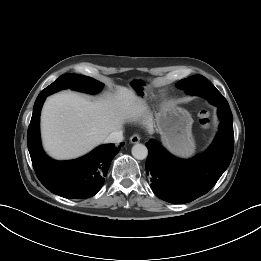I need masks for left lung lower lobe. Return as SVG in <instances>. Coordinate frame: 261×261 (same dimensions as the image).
<instances>
[{
	"instance_id": "0a47b994",
	"label": "left lung lower lobe",
	"mask_w": 261,
	"mask_h": 261,
	"mask_svg": "<svg viewBox=\"0 0 261 261\" xmlns=\"http://www.w3.org/2000/svg\"><path fill=\"white\" fill-rule=\"evenodd\" d=\"M187 92L202 96L217 106L221 123L212 145L196 158L178 159L155 140L146 143L150 186L160 199L173 204L188 203L207 193L229 166L234 149L232 113L222 94L208 80L199 82Z\"/></svg>"
}]
</instances>
